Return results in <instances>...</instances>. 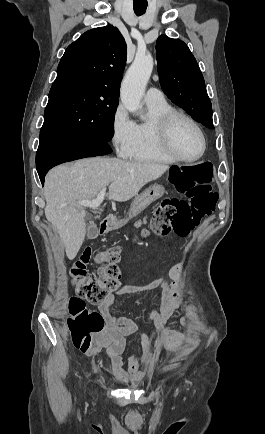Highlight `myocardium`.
<instances>
[{
    "mask_svg": "<svg viewBox=\"0 0 265 434\" xmlns=\"http://www.w3.org/2000/svg\"><path fill=\"white\" fill-rule=\"evenodd\" d=\"M178 120H184L188 122L190 125L193 126V128L197 131L199 134L201 141H202V150L200 154L192 159H186L180 156L178 151L176 150L174 143H173V133H174V126L175 123ZM160 130H161V142L167 153L177 162L184 163V164H195L199 161H201L204 156L206 155L207 149H208V142L206 135L204 131L202 130L201 126L198 124V122L193 119L191 116L187 115L184 112L172 109L168 113H166L161 121H160Z\"/></svg>",
    "mask_w": 265,
    "mask_h": 434,
    "instance_id": "obj_1",
    "label": "myocardium"
}]
</instances>
